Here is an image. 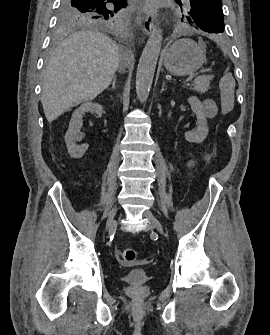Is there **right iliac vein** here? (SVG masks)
Wrapping results in <instances>:
<instances>
[{
  "label": "right iliac vein",
  "instance_id": "63e3f726",
  "mask_svg": "<svg viewBox=\"0 0 270 335\" xmlns=\"http://www.w3.org/2000/svg\"><path fill=\"white\" fill-rule=\"evenodd\" d=\"M117 212V206H114L108 216L107 222H106V229L109 231H114L116 229V222L114 220V217Z\"/></svg>",
  "mask_w": 270,
  "mask_h": 335
}]
</instances>
